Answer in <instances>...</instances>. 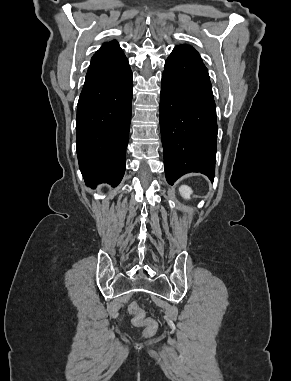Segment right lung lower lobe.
<instances>
[{"label": "right lung lower lobe", "mask_w": 291, "mask_h": 381, "mask_svg": "<svg viewBox=\"0 0 291 381\" xmlns=\"http://www.w3.org/2000/svg\"><path fill=\"white\" fill-rule=\"evenodd\" d=\"M133 79L121 48L92 57L77 105L79 168L88 185L116 187L125 172Z\"/></svg>", "instance_id": "obj_1"}]
</instances>
